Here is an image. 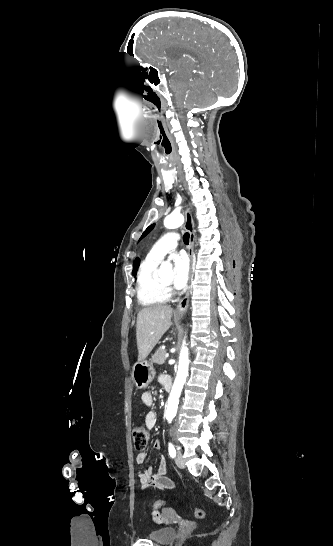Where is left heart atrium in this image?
<instances>
[{"label": "left heart atrium", "instance_id": "1", "mask_svg": "<svg viewBox=\"0 0 333 546\" xmlns=\"http://www.w3.org/2000/svg\"><path fill=\"white\" fill-rule=\"evenodd\" d=\"M174 265V287L183 288L189 277V260L185 254H175L172 257Z\"/></svg>", "mask_w": 333, "mask_h": 546}]
</instances>
